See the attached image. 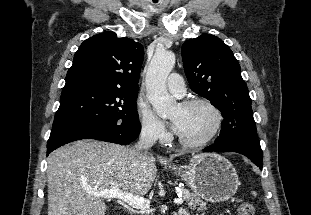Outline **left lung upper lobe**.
<instances>
[{"label":"left lung upper lobe","instance_id":"5c2ea615","mask_svg":"<svg viewBox=\"0 0 311 215\" xmlns=\"http://www.w3.org/2000/svg\"><path fill=\"white\" fill-rule=\"evenodd\" d=\"M190 88L211 101L224 118L219 143L231 138H257L251 99L231 49L218 37L202 34L182 45Z\"/></svg>","mask_w":311,"mask_h":215}]
</instances>
